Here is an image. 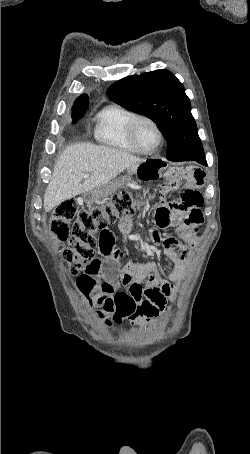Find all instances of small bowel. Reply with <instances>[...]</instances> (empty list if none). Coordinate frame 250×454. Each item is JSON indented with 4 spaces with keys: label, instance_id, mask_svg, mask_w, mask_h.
<instances>
[{
    "label": "small bowel",
    "instance_id": "c3829d8e",
    "mask_svg": "<svg viewBox=\"0 0 250 454\" xmlns=\"http://www.w3.org/2000/svg\"><path fill=\"white\" fill-rule=\"evenodd\" d=\"M203 181L202 171L189 170L158 186L162 198L184 187L177 200L163 201L154 216L158 228L174 226L178 237L163 238L156 229L150 232L152 242L157 246L162 244L165 255L173 263L169 271L155 263L129 262L121 268L124 252L115 246V237L109 229L101 230L98 251L102 258H94L77 279V286L89 305L100 307L115 322L128 319L139 328L148 327L167 310L166 303L174 297L175 285L184 277L187 255L198 242L197 232L203 222V198L199 191ZM119 227L129 236L131 220L125 217Z\"/></svg>",
    "mask_w": 250,
    "mask_h": 454
}]
</instances>
